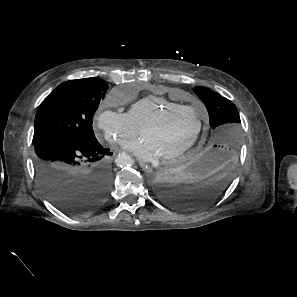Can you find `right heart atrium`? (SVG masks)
Returning a JSON list of instances; mask_svg holds the SVG:
<instances>
[{"label": "right heart atrium", "instance_id": "1", "mask_svg": "<svg viewBox=\"0 0 297 297\" xmlns=\"http://www.w3.org/2000/svg\"><path fill=\"white\" fill-rule=\"evenodd\" d=\"M95 122L97 129L112 144L123 145L137 132L128 114L117 108V100L112 94L99 107Z\"/></svg>", "mask_w": 297, "mask_h": 297}]
</instances>
